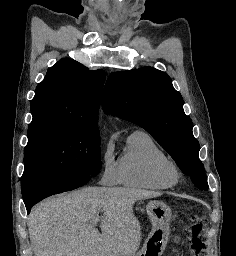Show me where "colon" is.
<instances>
[{"instance_id":"1","label":"colon","mask_w":236,"mask_h":256,"mask_svg":"<svg viewBox=\"0 0 236 256\" xmlns=\"http://www.w3.org/2000/svg\"><path fill=\"white\" fill-rule=\"evenodd\" d=\"M204 209H199L197 213L190 215L191 226L189 229V249L190 256H205V243L203 239Z\"/></svg>"}]
</instances>
